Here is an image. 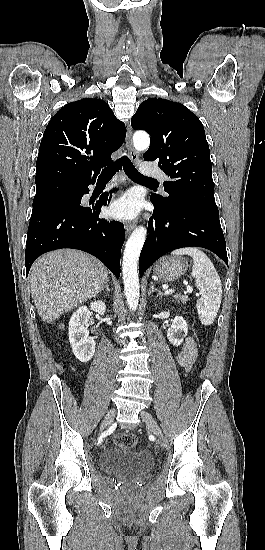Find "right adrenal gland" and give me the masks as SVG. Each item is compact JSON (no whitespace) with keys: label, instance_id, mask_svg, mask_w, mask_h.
I'll return each mask as SVG.
<instances>
[{"label":"right adrenal gland","instance_id":"obj_1","mask_svg":"<svg viewBox=\"0 0 265 550\" xmlns=\"http://www.w3.org/2000/svg\"><path fill=\"white\" fill-rule=\"evenodd\" d=\"M105 289H106L108 292L110 291L108 283L105 284V286L102 288V291H104Z\"/></svg>","mask_w":265,"mask_h":550}]
</instances>
